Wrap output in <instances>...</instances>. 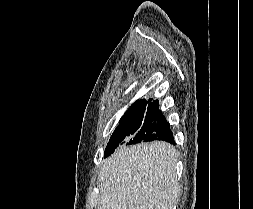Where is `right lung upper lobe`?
Returning <instances> with one entry per match:
<instances>
[{
	"instance_id": "obj_1",
	"label": "right lung upper lobe",
	"mask_w": 253,
	"mask_h": 209,
	"mask_svg": "<svg viewBox=\"0 0 253 209\" xmlns=\"http://www.w3.org/2000/svg\"><path fill=\"white\" fill-rule=\"evenodd\" d=\"M149 101H151V99H150ZM156 102H158V100L149 103V104H148V108H147V102H146V100H144V99H143V100H138V101H136V102L128 109V111L124 114L123 117L131 116V115H133V114H136V113H138V112H140V111H143V110H146V109L149 110V109H151V108L154 106V104H155Z\"/></svg>"
}]
</instances>
